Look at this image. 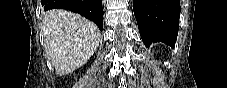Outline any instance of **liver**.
<instances>
[{"label": "liver", "mask_w": 227, "mask_h": 88, "mask_svg": "<svg viewBox=\"0 0 227 88\" xmlns=\"http://www.w3.org/2000/svg\"><path fill=\"white\" fill-rule=\"evenodd\" d=\"M45 51L57 75H67L83 66L99 46L98 27L84 17L60 9L43 17Z\"/></svg>", "instance_id": "obj_1"}]
</instances>
